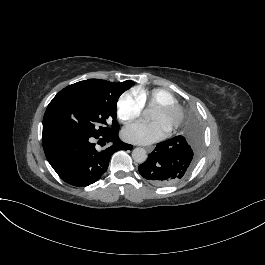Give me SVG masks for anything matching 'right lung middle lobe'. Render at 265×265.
<instances>
[{
  "label": "right lung middle lobe",
  "instance_id": "dd1d6c3e",
  "mask_svg": "<svg viewBox=\"0 0 265 265\" xmlns=\"http://www.w3.org/2000/svg\"><path fill=\"white\" fill-rule=\"evenodd\" d=\"M134 82L88 79L69 85L49 103L43 118L42 141L63 136H101L119 129L116 107Z\"/></svg>",
  "mask_w": 265,
  "mask_h": 265
}]
</instances>
